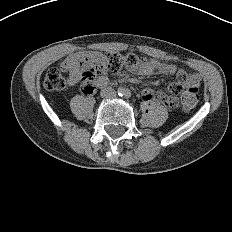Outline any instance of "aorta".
I'll return each instance as SVG.
<instances>
[{
    "instance_id": "obj_1",
    "label": "aorta",
    "mask_w": 232,
    "mask_h": 232,
    "mask_svg": "<svg viewBox=\"0 0 232 232\" xmlns=\"http://www.w3.org/2000/svg\"><path fill=\"white\" fill-rule=\"evenodd\" d=\"M128 92H129L128 90H123V91H121L120 93H121L122 95H126Z\"/></svg>"
}]
</instances>
